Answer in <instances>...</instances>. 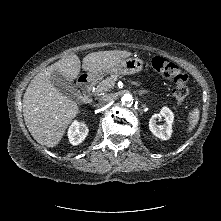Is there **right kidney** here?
<instances>
[{"label":"right kidney","instance_id":"obj_1","mask_svg":"<svg viewBox=\"0 0 221 221\" xmlns=\"http://www.w3.org/2000/svg\"><path fill=\"white\" fill-rule=\"evenodd\" d=\"M89 129L85 124L74 121L68 129V138L72 145L80 144L88 135Z\"/></svg>","mask_w":221,"mask_h":221}]
</instances>
